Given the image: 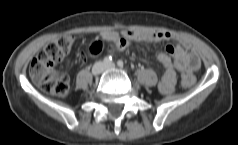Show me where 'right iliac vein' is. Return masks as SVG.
Returning a JSON list of instances; mask_svg holds the SVG:
<instances>
[{
	"label": "right iliac vein",
	"instance_id": "1",
	"mask_svg": "<svg viewBox=\"0 0 238 145\" xmlns=\"http://www.w3.org/2000/svg\"><path fill=\"white\" fill-rule=\"evenodd\" d=\"M103 68H104V64L102 62H97L92 67L91 72L94 76H97L103 71Z\"/></svg>",
	"mask_w": 238,
	"mask_h": 145
}]
</instances>
